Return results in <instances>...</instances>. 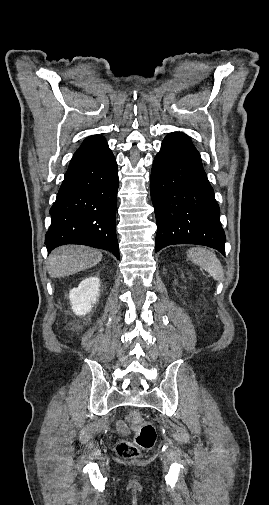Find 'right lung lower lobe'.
<instances>
[{
	"mask_svg": "<svg viewBox=\"0 0 269 505\" xmlns=\"http://www.w3.org/2000/svg\"><path fill=\"white\" fill-rule=\"evenodd\" d=\"M118 186L117 163L107 143L74 156L50 209L48 252L64 244H82L120 259L115 231Z\"/></svg>",
	"mask_w": 269,
	"mask_h": 505,
	"instance_id": "98d812e1",
	"label": "right lung lower lobe"
}]
</instances>
